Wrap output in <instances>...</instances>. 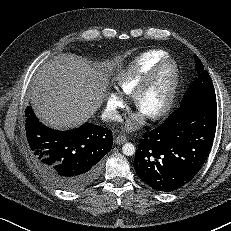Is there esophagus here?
I'll use <instances>...</instances> for the list:
<instances>
[{
	"label": "esophagus",
	"mask_w": 231,
	"mask_h": 231,
	"mask_svg": "<svg viewBox=\"0 0 231 231\" xmlns=\"http://www.w3.org/2000/svg\"><path fill=\"white\" fill-rule=\"evenodd\" d=\"M127 141L126 137L123 136V135H118L116 138H115V143L118 144V145H121L123 143H125Z\"/></svg>",
	"instance_id": "1"
}]
</instances>
